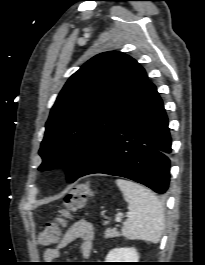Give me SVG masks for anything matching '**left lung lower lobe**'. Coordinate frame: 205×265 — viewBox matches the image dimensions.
<instances>
[{"mask_svg": "<svg viewBox=\"0 0 205 265\" xmlns=\"http://www.w3.org/2000/svg\"><path fill=\"white\" fill-rule=\"evenodd\" d=\"M170 152L163 102L155 85L149 82L132 110L76 179L94 173L110 174L163 194L169 187Z\"/></svg>", "mask_w": 205, "mask_h": 265, "instance_id": "obj_1", "label": "left lung lower lobe"}]
</instances>
